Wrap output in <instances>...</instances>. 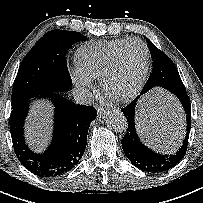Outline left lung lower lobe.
Listing matches in <instances>:
<instances>
[{
    "mask_svg": "<svg viewBox=\"0 0 203 203\" xmlns=\"http://www.w3.org/2000/svg\"><path fill=\"white\" fill-rule=\"evenodd\" d=\"M146 93L142 90L141 94ZM179 99L186 114V136L182 146L171 155L156 153L141 143L135 128V107L139 97L135 98L129 105L122 109L128 121V129L122 139V147L125 155L131 163L142 171L149 173H161L173 168L185 156L191 127V105L190 98L186 92L176 90L172 92Z\"/></svg>",
    "mask_w": 203,
    "mask_h": 203,
    "instance_id": "1",
    "label": "left lung lower lobe"
}]
</instances>
